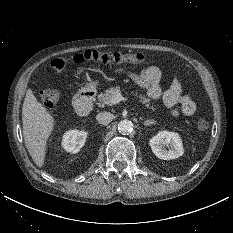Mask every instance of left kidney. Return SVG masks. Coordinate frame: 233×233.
I'll return each instance as SVG.
<instances>
[{"label": "left kidney", "instance_id": "5707ae66", "mask_svg": "<svg viewBox=\"0 0 233 233\" xmlns=\"http://www.w3.org/2000/svg\"><path fill=\"white\" fill-rule=\"evenodd\" d=\"M149 144L153 153L163 160L175 159L184 153L182 140L175 132L160 131Z\"/></svg>", "mask_w": 233, "mask_h": 233}]
</instances>
